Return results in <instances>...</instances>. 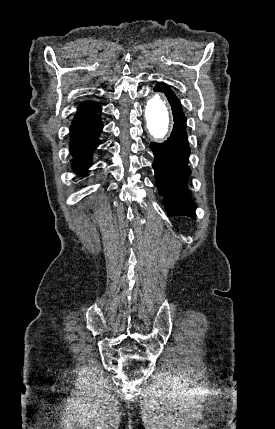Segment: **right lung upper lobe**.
<instances>
[{
    "label": "right lung upper lobe",
    "instance_id": "cb5924a9",
    "mask_svg": "<svg viewBox=\"0 0 275 429\" xmlns=\"http://www.w3.org/2000/svg\"><path fill=\"white\" fill-rule=\"evenodd\" d=\"M100 109H101V107L94 102H89V101L84 102L77 108V113H76L73 121L88 117V116L96 113Z\"/></svg>",
    "mask_w": 275,
    "mask_h": 429
}]
</instances>
